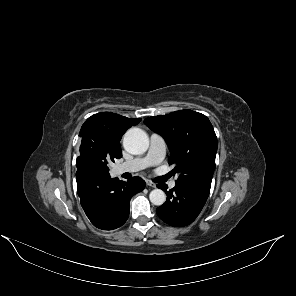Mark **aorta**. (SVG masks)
<instances>
[{"label": "aorta", "instance_id": "aorta-1", "mask_svg": "<svg viewBox=\"0 0 296 296\" xmlns=\"http://www.w3.org/2000/svg\"><path fill=\"white\" fill-rule=\"evenodd\" d=\"M123 146L131 154H142L149 146L148 135L142 129L131 128L124 135ZM149 199L152 204L161 206L166 201V194L161 189H154L150 192Z\"/></svg>", "mask_w": 296, "mask_h": 296}]
</instances>
